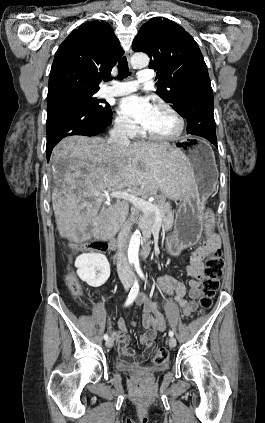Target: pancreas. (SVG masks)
<instances>
[{"instance_id":"pancreas-1","label":"pancreas","mask_w":265,"mask_h":423,"mask_svg":"<svg viewBox=\"0 0 265 423\" xmlns=\"http://www.w3.org/2000/svg\"><path fill=\"white\" fill-rule=\"evenodd\" d=\"M159 208V214L162 220V227L165 230L172 228L174 223L173 213L169 203L165 202L164 196H157L154 203ZM157 214L155 212L143 213L139 220V226L143 231L144 238L151 236V229L155 223Z\"/></svg>"}]
</instances>
